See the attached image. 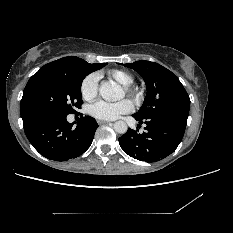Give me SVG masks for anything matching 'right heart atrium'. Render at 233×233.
<instances>
[{"label":"right heart atrium","mask_w":233,"mask_h":233,"mask_svg":"<svg viewBox=\"0 0 233 233\" xmlns=\"http://www.w3.org/2000/svg\"><path fill=\"white\" fill-rule=\"evenodd\" d=\"M80 91L85 100H93L98 94V76L96 74L87 75L81 83Z\"/></svg>","instance_id":"1"}]
</instances>
